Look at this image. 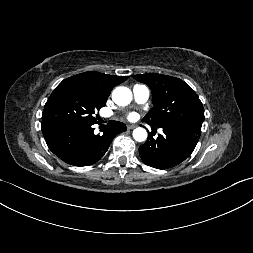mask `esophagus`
<instances>
[{
	"label": "esophagus",
	"instance_id": "1",
	"mask_svg": "<svg viewBox=\"0 0 253 253\" xmlns=\"http://www.w3.org/2000/svg\"><path fill=\"white\" fill-rule=\"evenodd\" d=\"M135 127H136V125H130V124L127 125V129H128V130L134 129Z\"/></svg>",
	"mask_w": 253,
	"mask_h": 253
}]
</instances>
